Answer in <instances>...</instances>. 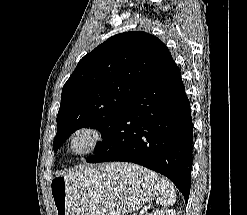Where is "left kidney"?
Segmentation results:
<instances>
[{
    "instance_id": "1",
    "label": "left kidney",
    "mask_w": 247,
    "mask_h": 215,
    "mask_svg": "<svg viewBox=\"0 0 247 215\" xmlns=\"http://www.w3.org/2000/svg\"><path fill=\"white\" fill-rule=\"evenodd\" d=\"M150 215H176V211L174 209H161L159 211H155Z\"/></svg>"
}]
</instances>
